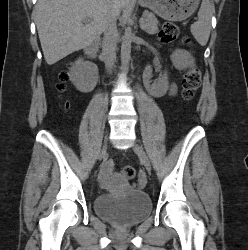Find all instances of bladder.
I'll list each match as a JSON object with an SVG mask.
<instances>
[{
	"label": "bladder",
	"mask_w": 248,
	"mask_h": 250,
	"mask_svg": "<svg viewBox=\"0 0 248 250\" xmlns=\"http://www.w3.org/2000/svg\"><path fill=\"white\" fill-rule=\"evenodd\" d=\"M98 216L121 226H132L151 213L150 198L142 191L130 190L122 196L109 193L98 195L94 201Z\"/></svg>",
	"instance_id": "31cf9c89"
}]
</instances>
